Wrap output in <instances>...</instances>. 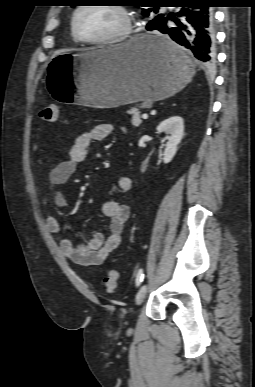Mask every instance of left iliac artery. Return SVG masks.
<instances>
[{"label": "left iliac artery", "instance_id": "obj_1", "mask_svg": "<svg viewBox=\"0 0 255 387\" xmlns=\"http://www.w3.org/2000/svg\"><path fill=\"white\" fill-rule=\"evenodd\" d=\"M144 279V272L142 269H140L136 276V286L139 287Z\"/></svg>", "mask_w": 255, "mask_h": 387}]
</instances>
